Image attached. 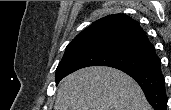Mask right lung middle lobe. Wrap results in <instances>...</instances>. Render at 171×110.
<instances>
[{"label":"right lung middle lobe","mask_w":171,"mask_h":110,"mask_svg":"<svg viewBox=\"0 0 171 110\" xmlns=\"http://www.w3.org/2000/svg\"><path fill=\"white\" fill-rule=\"evenodd\" d=\"M159 62V58L132 48L103 42H91L66 48L55 75L56 84L68 74L88 66H109L122 71L143 70Z\"/></svg>","instance_id":"1"}]
</instances>
